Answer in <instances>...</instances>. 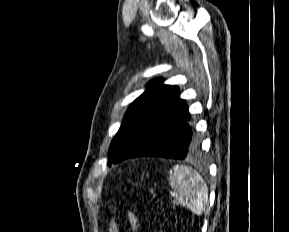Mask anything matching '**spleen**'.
<instances>
[{
    "label": "spleen",
    "mask_w": 289,
    "mask_h": 232,
    "mask_svg": "<svg viewBox=\"0 0 289 232\" xmlns=\"http://www.w3.org/2000/svg\"><path fill=\"white\" fill-rule=\"evenodd\" d=\"M169 181L171 188L177 193L175 204L186 207L196 215L205 212L208 187L197 171L186 165H176L169 175Z\"/></svg>",
    "instance_id": "1"
}]
</instances>
